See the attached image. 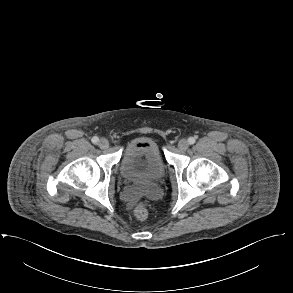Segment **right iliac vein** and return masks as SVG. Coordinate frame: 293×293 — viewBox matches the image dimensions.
I'll return each instance as SVG.
<instances>
[{
  "mask_svg": "<svg viewBox=\"0 0 293 293\" xmlns=\"http://www.w3.org/2000/svg\"><path fill=\"white\" fill-rule=\"evenodd\" d=\"M98 145H99V147H100L101 149H106V148L109 147V142H108L107 139H104V138H103V139H101V140L99 141Z\"/></svg>",
  "mask_w": 293,
  "mask_h": 293,
  "instance_id": "63e3f726",
  "label": "right iliac vein"
}]
</instances>
